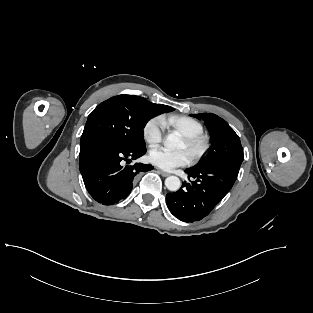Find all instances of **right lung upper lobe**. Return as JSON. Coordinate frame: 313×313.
Segmentation results:
<instances>
[{
    "label": "right lung upper lobe",
    "mask_w": 313,
    "mask_h": 313,
    "mask_svg": "<svg viewBox=\"0 0 313 313\" xmlns=\"http://www.w3.org/2000/svg\"><path fill=\"white\" fill-rule=\"evenodd\" d=\"M159 108L163 109V110H169L171 109L172 107L170 106H166V105H162V104H157Z\"/></svg>",
    "instance_id": "obj_1"
}]
</instances>
